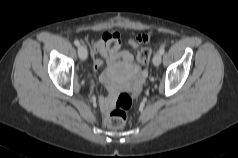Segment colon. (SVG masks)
Returning <instances> with one entry per match:
<instances>
[{
	"label": "colon",
	"mask_w": 238,
	"mask_h": 158,
	"mask_svg": "<svg viewBox=\"0 0 238 158\" xmlns=\"http://www.w3.org/2000/svg\"><path fill=\"white\" fill-rule=\"evenodd\" d=\"M138 42H141L138 39ZM138 42L132 41V45L136 50L137 61L141 65H147L150 60L151 51L148 47L140 45ZM132 96L127 92L118 95L114 109L106 115L104 124L110 129L122 128L127 119V111L132 106Z\"/></svg>",
	"instance_id": "1"
}]
</instances>
